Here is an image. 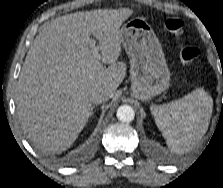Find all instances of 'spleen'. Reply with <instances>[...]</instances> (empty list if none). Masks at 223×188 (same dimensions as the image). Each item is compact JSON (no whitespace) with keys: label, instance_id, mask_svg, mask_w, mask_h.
<instances>
[{"label":"spleen","instance_id":"spleen-1","mask_svg":"<svg viewBox=\"0 0 223 188\" xmlns=\"http://www.w3.org/2000/svg\"><path fill=\"white\" fill-rule=\"evenodd\" d=\"M212 107V97L198 88L178 100L151 106L150 110L168 147L174 152H183L205 134Z\"/></svg>","mask_w":223,"mask_h":188}]
</instances>
